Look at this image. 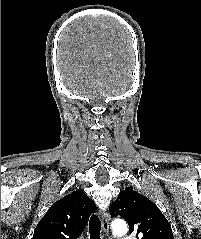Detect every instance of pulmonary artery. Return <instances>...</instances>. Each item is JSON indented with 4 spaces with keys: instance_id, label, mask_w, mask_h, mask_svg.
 I'll list each match as a JSON object with an SVG mask.
<instances>
[{
    "instance_id": "1",
    "label": "pulmonary artery",
    "mask_w": 201,
    "mask_h": 239,
    "mask_svg": "<svg viewBox=\"0 0 201 239\" xmlns=\"http://www.w3.org/2000/svg\"><path fill=\"white\" fill-rule=\"evenodd\" d=\"M119 239H131L130 237H122V238H119Z\"/></svg>"
}]
</instances>
